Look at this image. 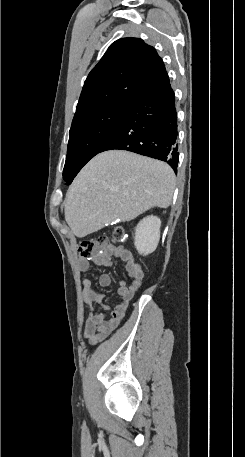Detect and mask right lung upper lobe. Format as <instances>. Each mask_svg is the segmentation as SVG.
I'll use <instances>...</instances> for the list:
<instances>
[{"label":"right lung upper lobe","mask_w":245,"mask_h":457,"mask_svg":"<svg viewBox=\"0 0 245 457\" xmlns=\"http://www.w3.org/2000/svg\"><path fill=\"white\" fill-rule=\"evenodd\" d=\"M168 80L156 50L139 38H122L110 45L89 73L76 115L119 102L132 105L144 92Z\"/></svg>","instance_id":"cb5924a9"}]
</instances>
